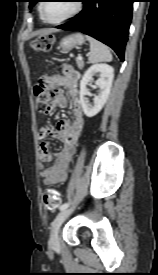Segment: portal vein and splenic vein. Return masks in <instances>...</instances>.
Masks as SVG:
<instances>
[{"mask_svg":"<svg viewBox=\"0 0 158 275\" xmlns=\"http://www.w3.org/2000/svg\"><path fill=\"white\" fill-rule=\"evenodd\" d=\"M77 59H78V60H82V56H81V55H78Z\"/></svg>","mask_w":158,"mask_h":275,"instance_id":"1","label":"portal vein and splenic vein"}]
</instances>
